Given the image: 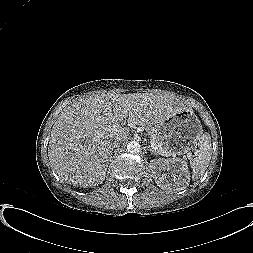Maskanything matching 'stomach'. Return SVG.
<instances>
[{"label":"stomach","mask_w":253,"mask_h":253,"mask_svg":"<svg viewBox=\"0 0 253 253\" xmlns=\"http://www.w3.org/2000/svg\"><path fill=\"white\" fill-rule=\"evenodd\" d=\"M164 146L177 154L192 150L203 133L201 121L193 110H182L156 126Z\"/></svg>","instance_id":"1"}]
</instances>
